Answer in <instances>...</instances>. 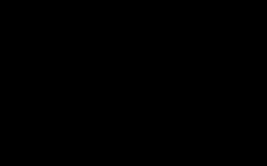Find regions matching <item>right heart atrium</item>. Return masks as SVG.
<instances>
[{"label":"right heart atrium","instance_id":"d8ad5b80","mask_svg":"<svg viewBox=\"0 0 267 166\" xmlns=\"http://www.w3.org/2000/svg\"><path fill=\"white\" fill-rule=\"evenodd\" d=\"M97 54H98L99 57H104L106 55L113 56L111 49L106 44L101 45L97 49Z\"/></svg>","mask_w":267,"mask_h":166}]
</instances>
